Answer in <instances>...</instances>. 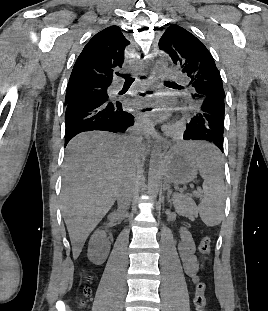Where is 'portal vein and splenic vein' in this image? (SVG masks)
I'll return each instance as SVG.
<instances>
[{"label":"portal vein and splenic vein","mask_w":268,"mask_h":311,"mask_svg":"<svg viewBox=\"0 0 268 311\" xmlns=\"http://www.w3.org/2000/svg\"><path fill=\"white\" fill-rule=\"evenodd\" d=\"M195 195H196V196H199V195H200V193H199V192H195Z\"/></svg>","instance_id":"18ae733b"}]
</instances>
